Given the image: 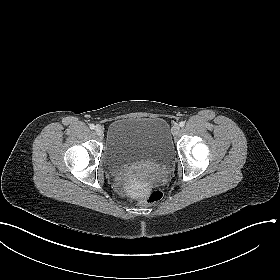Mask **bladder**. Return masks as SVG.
Returning <instances> with one entry per match:
<instances>
[{"mask_svg":"<svg viewBox=\"0 0 280 280\" xmlns=\"http://www.w3.org/2000/svg\"><path fill=\"white\" fill-rule=\"evenodd\" d=\"M172 155L170 129L163 118H119L108 127L103 162L110 172L141 162L163 164Z\"/></svg>","mask_w":280,"mask_h":280,"instance_id":"obj_1","label":"bladder"}]
</instances>
